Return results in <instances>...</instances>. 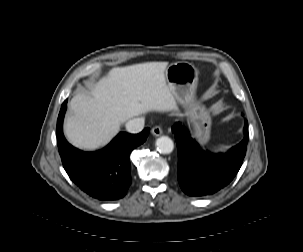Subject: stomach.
I'll return each mask as SVG.
<instances>
[{
    "instance_id": "1",
    "label": "stomach",
    "mask_w": 303,
    "mask_h": 252,
    "mask_svg": "<svg viewBox=\"0 0 303 252\" xmlns=\"http://www.w3.org/2000/svg\"><path fill=\"white\" fill-rule=\"evenodd\" d=\"M197 68L188 62L171 63L165 69L167 84L175 98L187 108L186 116L193 126V136L199 143L210 138L211 118L204 106L195 102V90L198 82Z\"/></svg>"
}]
</instances>
